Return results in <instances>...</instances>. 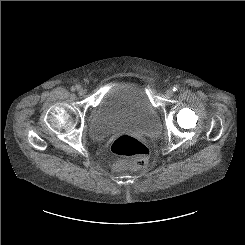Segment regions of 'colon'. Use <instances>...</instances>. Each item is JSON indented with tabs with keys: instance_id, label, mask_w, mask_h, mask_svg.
Masks as SVG:
<instances>
[{
	"instance_id": "5ec220e1",
	"label": "colon",
	"mask_w": 245,
	"mask_h": 245,
	"mask_svg": "<svg viewBox=\"0 0 245 245\" xmlns=\"http://www.w3.org/2000/svg\"><path fill=\"white\" fill-rule=\"evenodd\" d=\"M110 150L115 155L128 158L130 167L134 169L145 168L149 161V148L130 134L116 136L111 142ZM122 167V165L116 166L117 169Z\"/></svg>"
}]
</instances>
